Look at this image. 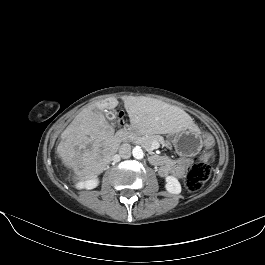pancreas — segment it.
Returning a JSON list of instances; mask_svg holds the SVG:
<instances>
[{"label": "pancreas", "mask_w": 265, "mask_h": 265, "mask_svg": "<svg viewBox=\"0 0 265 265\" xmlns=\"http://www.w3.org/2000/svg\"><path fill=\"white\" fill-rule=\"evenodd\" d=\"M128 140L143 146L147 151H151V145L154 141H158L161 144L168 146L169 144L159 135H142L140 133H128Z\"/></svg>", "instance_id": "cf45deb5"}]
</instances>
